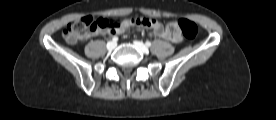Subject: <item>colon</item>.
<instances>
[{"instance_id": "5ec220e1", "label": "colon", "mask_w": 276, "mask_h": 120, "mask_svg": "<svg viewBox=\"0 0 276 120\" xmlns=\"http://www.w3.org/2000/svg\"><path fill=\"white\" fill-rule=\"evenodd\" d=\"M152 20L153 19L139 18L133 21H127V24L150 27ZM121 25L105 18L94 19L92 17H83L66 26L63 31V38L68 43L74 44L91 34H96L98 32H114L120 28ZM166 32L171 35L181 33L185 38L193 40L198 34V27L193 21L181 19L179 21L169 22L166 26Z\"/></svg>"}]
</instances>
